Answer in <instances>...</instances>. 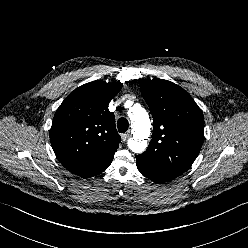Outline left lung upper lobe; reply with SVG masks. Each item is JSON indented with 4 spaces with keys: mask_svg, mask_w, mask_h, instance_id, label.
<instances>
[{
    "mask_svg": "<svg viewBox=\"0 0 248 248\" xmlns=\"http://www.w3.org/2000/svg\"><path fill=\"white\" fill-rule=\"evenodd\" d=\"M140 90L154 129L137 164L145 173L167 182L184 173L198 156L204 141L203 114L192 97L170 81L144 80Z\"/></svg>",
    "mask_w": 248,
    "mask_h": 248,
    "instance_id": "left-lung-upper-lobe-1",
    "label": "left lung upper lobe"
}]
</instances>
